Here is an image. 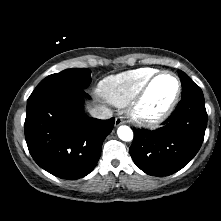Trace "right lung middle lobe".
Listing matches in <instances>:
<instances>
[{
	"mask_svg": "<svg viewBox=\"0 0 221 221\" xmlns=\"http://www.w3.org/2000/svg\"><path fill=\"white\" fill-rule=\"evenodd\" d=\"M90 73L86 68H71L49 75L38 84L28 101L58 90L85 89L91 83Z\"/></svg>",
	"mask_w": 221,
	"mask_h": 221,
	"instance_id": "dd1d6c3e",
	"label": "right lung middle lobe"
}]
</instances>
